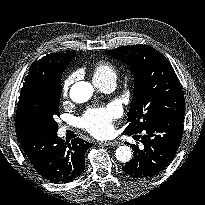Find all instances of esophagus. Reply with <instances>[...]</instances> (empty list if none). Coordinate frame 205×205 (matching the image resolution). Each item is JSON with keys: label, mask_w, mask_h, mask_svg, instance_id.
I'll return each instance as SVG.
<instances>
[{"label": "esophagus", "mask_w": 205, "mask_h": 205, "mask_svg": "<svg viewBox=\"0 0 205 205\" xmlns=\"http://www.w3.org/2000/svg\"><path fill=\"white\" fill-rule=\"evenodd\" d=\"M101 145L108 146V147H114L118 144L117 141H104L100 142Z\"/></svg>", "instance_id": "obj_1"}]
</instances>
